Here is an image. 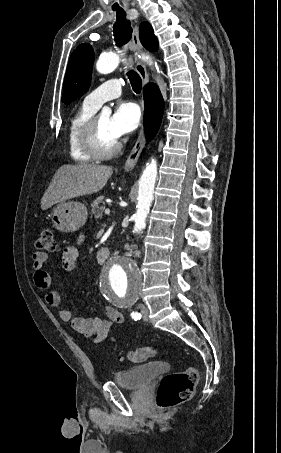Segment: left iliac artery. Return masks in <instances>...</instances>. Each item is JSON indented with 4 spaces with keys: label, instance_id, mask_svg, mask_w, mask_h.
Wrapping results in <instances>:
<instances>
[{
    "label": "left iliac artery",
    "instance_id": "1",
    "mask_svg": "<svg viewBox=\"0 0 281 453\" xmlns=\"http://www.w3.org/2000/svg\"><path fill=\"white\" fill-rule=\"evenodd\" d=\"M131 316H132V318H133L135 321H137L138 319H141V316H142V315H141L140 313H137V312H132V313H131Z\"/></svg>",
    "mask_w": 281,
    "mask_h": 453
}]
</instances>
